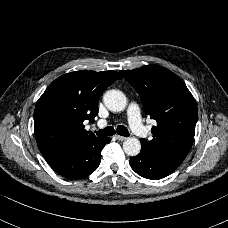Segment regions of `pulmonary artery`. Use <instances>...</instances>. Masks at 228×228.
Segmentation results:
<instances>
[{"label": "pulmonary artery", "mask_w": 228, "mask_h": 228, "mask_svg": "<svg viewBox=\"0 0 228 228\" xmlns=\"http://www.w3.org/2000/svg\"><path fill=\"white\" fill-rule=\"evenodd\" d=\"M136 110H137L136 107L133 106L131 109L130 115H133L136 112ZM106 124H107L106 121H99L97 125L98 126H105Z\"/></svg>", "instance_id": "e3ab8cb5"}]
</instances>
